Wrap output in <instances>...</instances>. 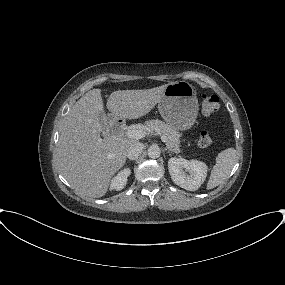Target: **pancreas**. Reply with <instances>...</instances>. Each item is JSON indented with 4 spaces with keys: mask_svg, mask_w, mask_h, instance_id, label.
<instances>
[{
    "mask_svg": "<svg viewBox=\"0 0 285 285\" xmlns=\"http://www.w3.org/2000/svg\"><path fill=\"white\" fill-rule=\"evenodd\" d=\"M146 131H156L161 136L166 138V146L169 150L179 153L180 150V137L179 131L161 120H149L144 126Z\"/></svg>",
    "mask_w": 285,
    "mask_h": 285,
    "instance_id": "pancreas-1",
    "label": "pancreas"
}]
</instances>
